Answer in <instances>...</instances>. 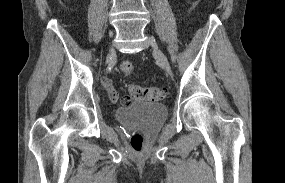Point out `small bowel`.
I'll return each mask as SVG.
<instances>
[{"instance_id":"1","label":"small bowel","mask_w":285,"mask_h":183,"mask_svg":"<svg viewBox=\"0 0 285 183\" xmlns=\"http://www.w3.org/2000/svg\"><path fill=\"white\" fill-rule=\"evenodd\" d=\"M102 83H103L105 89L107 90V92L109 93L111 100L117 101L119 99V95H118L117 91L114 89L111 81L107 78H104L102 80ZM122 101H123V99H122Z\"/></svg>"}]
</instances>
